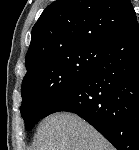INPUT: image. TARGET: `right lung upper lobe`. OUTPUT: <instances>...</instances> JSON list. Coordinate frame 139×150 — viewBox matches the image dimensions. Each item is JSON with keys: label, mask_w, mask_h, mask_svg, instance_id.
<instances>
[{"label": "right lung upper lobe", "mask_w": 139, "mask_h": 150, "mask_svg": "<svg viewBox=\"0 0 139 150\" xmlns=\"http://www.w3.org/2000/svg\"><path fill=\"white\" fill-rule=\"evenodd\" d=\"M135 19L130 0H56L32 29L27 74L56 54L108 46Z\"/></svg>", "instance_id": "1"}]
</instances>
